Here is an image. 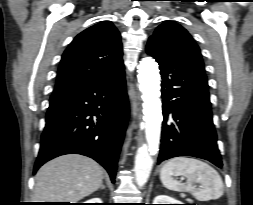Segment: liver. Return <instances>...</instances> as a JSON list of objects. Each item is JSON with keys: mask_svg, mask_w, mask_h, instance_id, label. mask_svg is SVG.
Here are the masks:
<instances>
[{"mask_svg": "<svg viewBox=\"0 0 253 205\" xmlns=\"http://www.w3.org/2000/svg\"><path fill=\"white\" fill-rule=\"evenodd\" d=\"M103 169L93 159L69 154L44 164L35 176L37 202L76 203L102 185Z\"/></svg>", "mask_w": 253, "mask_h": 205, "instance_id": "6515ba94", "label": "liver"}]
</instances>
